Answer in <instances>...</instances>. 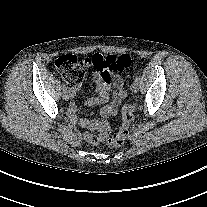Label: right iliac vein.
<instances>
[{
	"mask_svg": "<svg viewBox=\"0 0 207 207\" xmlns=\"http://www.w3.org/2000/svg\"><path fill=\"white\" fill-rule=\"evenodd\" d=\"M62 98H63L65 101L69 100V98H70V94H69V92H68L67 90H63Z\"/></svg>",
	"mask_w": 207,
	"mask_h": 207,
	"instance_id": "right-iliac-vein-1",
	"label": "right iliac vein"
}]
</instances>
